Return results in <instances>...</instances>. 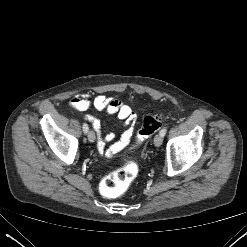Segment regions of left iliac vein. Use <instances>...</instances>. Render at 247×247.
<instances>
[{"mask_svg":"<svg viewBox=\"0 0 247 247\" xmlns=\"http://www.w3.org/2000/svg\"><path fill=\"white\" fill-rule=\"evenodd\" d=\"M162 142H163V136L159 133L154 138V144L155 146L159 147L162 145Z\"/></svg>","mask_w":247,"mask_h":247,"instance_id":"obj_1","label":"left iliac vein"}]
</instances>
